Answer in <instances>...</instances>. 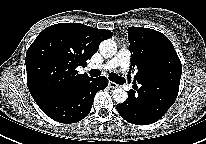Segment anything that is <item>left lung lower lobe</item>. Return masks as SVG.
I'll list each match as a JSON object with an SVG mask.
<instances>
[{"instance_id": "0a47b994", "label": "left lung lower lobe", "mask_w": 206, "mask_h": 144, "mask_svg": "<svg viewBox=\"0 0 206 144\" xmlns=\"http://www.w3.org/2000/svg\"><path fill=\"white\" fill-rule=\"evenodd\" d=\"M177 94L161 91L147 94L144 85L136 91L128 92V99L117 104L116 109L123 119L137 125H148L158 121L173 105Z\"/></svg>"}]
</instances>
